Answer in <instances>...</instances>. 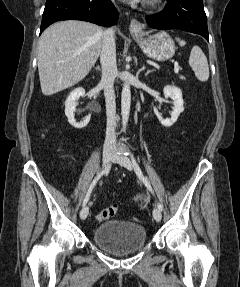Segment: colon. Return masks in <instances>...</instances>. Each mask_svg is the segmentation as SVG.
Masks as SVG:
<instances>
[{
	"mask_svg": "<svg viewBox=\"0 0 240 287\" xmlns=\"http://www.w3.org/2000/svg\"><path fill=\"white\" fill-rule=\"evenodd\" d=\"M116 212H117V206L115 204L110 205V206L106 207L105 209H103L96 216V219L98 222L105 221V220L109 219L110 217H112L113 215H115Z\"/></svg>",
	"mask_w": 240,
	"mask_h": 287,
	"instance_id": "5ec220e1",
	"label": "colon"
}]
</instances>
